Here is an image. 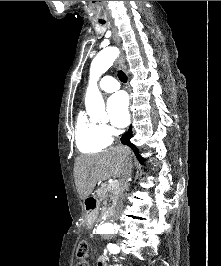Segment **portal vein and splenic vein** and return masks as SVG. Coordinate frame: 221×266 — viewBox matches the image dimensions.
<instances>
[{"mask_svg":"<svg viewBox=\"0 0 221 266\" xmlns=\"http://www.w3.org/2000/svg\"><path fill=\"white\" fill-rule=\"evenodd\" d=\"M118 186H119L118 180H114L112 181V183H110L109 188H118Z\"/></svg>","mask_w":221,"mask_h":266,"instance_id":"1","label":"portal vein and splenic vein"}]
</instances>
